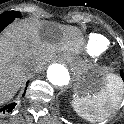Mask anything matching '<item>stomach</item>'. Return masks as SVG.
<instances>
[{"label":"stomach","instance_id":"stomach-1","mask_svg":"<svg viewBox=\"0 0 124 124\" xmlns=\"http://www.w3.org/2000/svg\"><path fill=\"white\" fill-rule=\"evenodd\" d=\"M113 77V75L103 72H81L75 85V92L81 96L98 95L109 83L113 82Z\"/></svg>","mask_w":124,"mask_h":124}]
</instances>
